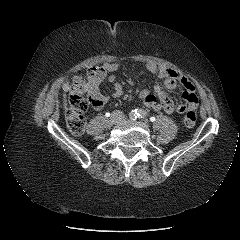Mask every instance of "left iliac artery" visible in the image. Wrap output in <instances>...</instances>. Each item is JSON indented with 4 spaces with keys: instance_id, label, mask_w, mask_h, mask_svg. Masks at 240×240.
I'll return each mask as SVG.
<instances>
[{
    "instance_id": "44dca946",
    "label": "left iliac artery",
    "mask_w": 240,
    "mask_h": 240,
    "mask_svg": "<svg viewBox=\"0 0 240 240\" xmlns=\"http://www.w3.org/2000/svg\"><path fill=\"white\" fill-rule=\"evenodd\" d=\"M136 111H137V110H136ZM147 115H148L147 112L144 111V110H142V109H140V110L137 111V116H138V118H146Z\"/></svg>"
}]
</instances>
